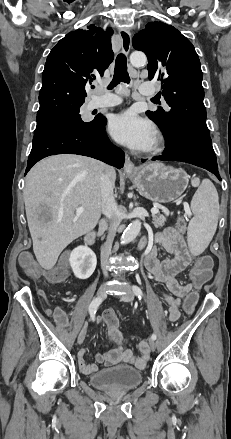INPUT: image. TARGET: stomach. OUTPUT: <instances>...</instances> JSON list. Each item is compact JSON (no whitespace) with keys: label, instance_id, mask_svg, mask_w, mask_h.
Segmentation results:
<instances>
[{"label":"stomach","instance_id":"0dacf381","mask_svg":"<svg viewBox=\"0 0 231 439\" xmlns=\"http://www.w3.org/2000/svg\"><path fill=\"white\" fill-rule=\"evenodd\" d=\"M127 175L142 196L158 203L178 199L189 182V176L185 171L166 168L159 163L138 167L134 172H127Z\"/></svg>","mask_w":231,"mask_h":439}]
</instances>
